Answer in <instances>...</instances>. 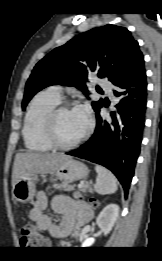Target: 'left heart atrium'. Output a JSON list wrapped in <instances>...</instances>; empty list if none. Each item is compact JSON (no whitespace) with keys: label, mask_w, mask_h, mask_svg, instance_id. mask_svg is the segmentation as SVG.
I'll return each mask as SVG.
<instances>
[{"label":"left heart atrium","mask_w":162,"mask_h":261,"mask_svg":"<svg viewBox=\"0 0 162 261\" xmlns=\"http://www.w3.org/2000/svg\"><path fill=\"white\" fill-rule=\"evenodd\" d=\"M74 113L80 119L81 123L87 128L91 123L90 110L87 105H81L74 109Z\"/></svg>","instance_id":"left-heart-atrium-1"}]
</instances>
